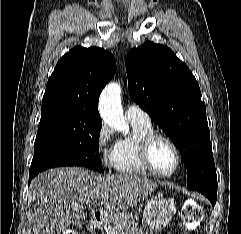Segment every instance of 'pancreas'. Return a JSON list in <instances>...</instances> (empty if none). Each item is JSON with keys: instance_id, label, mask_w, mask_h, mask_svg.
<instances>
[{"instance_id": "1", "label": "pancreas", "mask_w": 241, "mask_h": 234, "mask_svg": "<svg viewBox=\"0 0 241 234\" xmlns=\"http://www.w3.org/2000/svg\"><path fill=\"white\" fill-rule=\"evenodd\" d=\"M107 234H126L120 227L109 226Z\"/></svg>"}]
</instances>
